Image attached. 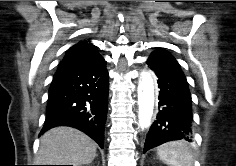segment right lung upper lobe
I'll list each match as a JSON object with an SVG mask.
<instances>
[{
  "label": "right lung upper lobe",
  "instance_id": "obj_1",
  "mask_svg": "<svg viewBox=\"0 0 236 166\" xmlns=\"http://www.w3.org/2000/svg\"><path fill=\"white\" fill-rule=\"evenodd\" d=\"M102 61H104L103 57L97 52L96 46L90 43V40L80 41L67 51L58 70L90 67Z\"/></svg>",
  "mask_w": 236,
  "mask_h": 166
}]
</instances>
